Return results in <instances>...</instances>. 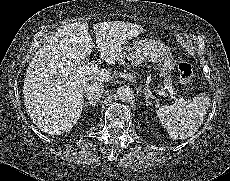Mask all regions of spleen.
I'll return each mask as SVG.
<instances>
[{
  "label": "spleen",
  "mask_w": 230,
  "mask_h": 181,
  "mask_svg": "<svg viewBox=\"0 0 230 181\" xmlns=\"http://www.w3.org/2000/svg\"><path fill=\"white\" fill-rule=\"evenodd\" d=\"M208 102V97L203 93L191 100L161 106L157 110V117L170 138L186 139L191 137L201 125Z\"/></svg>",
  "instance_id": "spleen-1"
}]
</instances>
